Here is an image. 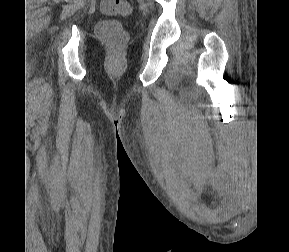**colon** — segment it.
I'll list each match as a JSON object with an SVG mask.
<instances>
[{
    "label": "colon",
    "instance_id": "5ec220e1",
    "mask_svg": "<svg viewBox=\"0 0 289 252\" xmlns=\"http://www.w3.org/2000/svg\"><path fill=\"white\" fill-rule=\"evenodd\" d=\"M100 9L106 15H129L131 5L126 0H101ZM97 36L115 51L120 50L127 41V33L117 20H103L97 24Z\"/></svg>",
    "mask_w": 289,
    "mask_h": 252
}]
</instances>
